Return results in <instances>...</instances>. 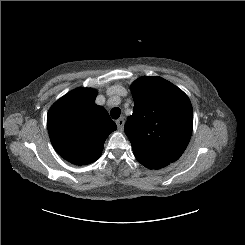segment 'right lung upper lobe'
I'll return each mask as SVG.
<instances>
[{
	"instance_id": "obj_1",
	"label": "right lung upper lobe",
	"mask_w": 245,
	"mask_h": 245,
	"mask_svg": "<svg viewBox=\"0 0 245 245\" xmlns=\"http://www.w3.org/2000/svg\"><path fill=\"white\" fill-rule=\"evenodd\" d=\"M97 92L77 88L56 101L47 115L51 143L65 160L76 165L96 161L116 124L107 111L95 104Z\"/></svg>"
}]
</instances>
